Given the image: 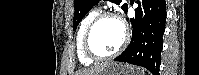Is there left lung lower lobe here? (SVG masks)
<instances>
[{"label": "left lung lower lobe", "instance_id": "0a47b994", "mask_svg": "<svg viewBox=\"0 0 199 75\" xmlns=\"http://www.w3.org/2000/svg\"><path fill=\"white\" fill-rule=\"evenodd\" d=\"M132 18V39L125 51L115 61L127 62L159 75L163 34L165 31V0H138ZM127 12V11H126Z\"/></svg>", "mask_w": 199, "mask_h": 75}]
</instances>
